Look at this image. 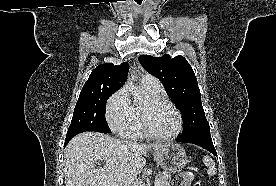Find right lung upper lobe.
<instances>
[{"instance_id": "cb5924a9", "label": "right lung upper lobe", "mask_w": 276, "mask_h": 186, "mask_svg": "<svg viewBox=\"0 0 276 186\" xmlns=\"http://www.w3.org/2000/svg\"><path fill=\"white\" fill-rule=\"evenodd\" d=\"M129 65L126 62L115 66L105 63L97 66L85 82L82 91L87 90H114L120 89L127 78Z\"/></svg>"}]
</instances>
